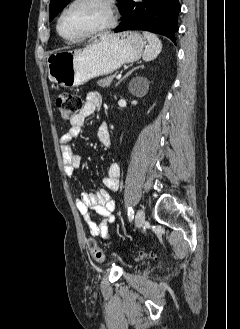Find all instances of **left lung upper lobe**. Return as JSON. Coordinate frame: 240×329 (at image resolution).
Wrapping results in <instances>:
<instances>
[{"instance_id": "obj_1", "label": "left lung upper lobe", "mask_w": 240, "mask_h": 329, "mask_svg": "<svg viewBox=\"0 0 240 329\" xmlns=\"http://www.w3.org/2000/svg\"><path fill=\"white\" fill-rule=\"evenodd\" d=\"M71 0H51L50 14L51 20L70 2ZM119 2V11L121 13L126 0H117Z\"/></svg>"}]
</instances>
